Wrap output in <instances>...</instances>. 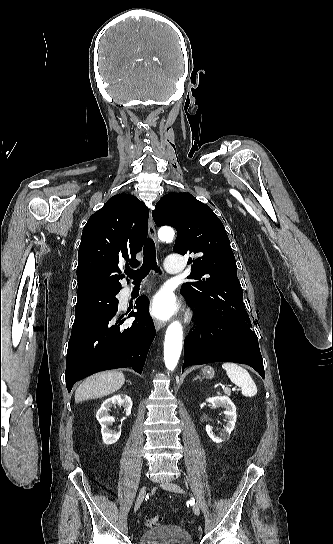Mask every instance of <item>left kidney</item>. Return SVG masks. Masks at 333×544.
Masks as SVG:
<instances>
[{
    "mask_svg": "<svg viewBox=\"0 0 333 544\" xmlns=\"http://www.w3.org/2000/svg\"><path fill=\"white\" fill-rule=\"evenodd\" d=\"M207 402L211 403L214 408H224L223 412L225 415L226 426L221 430L219 435H214L212 432V427L206 425V432L211 440L215 443H222L227 441L230 438L231 432L235 427L236 422V407L234 403L227 396H215L212 398H207Z\"/></svg>",
    "mask_w": 333,
    "mask_h": 544,
    "instance_id": "1",
    "label": "left kidney"
}]
</instances>
